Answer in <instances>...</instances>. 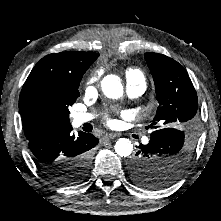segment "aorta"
<instances>
[{"label":"aorta","instance_id":"aorta-1","mask_svg":"<svg viewBox=\"0 0 221 221\" xmlns=\"http://www.w3.org/2000/svg\"><path fill=\"white\" fill-rule=\"evenodd\" d=\"M103 93L112 99L120 98L123 95V86L117 75H107L101 82ZM115 152L121 157L129 156L133 151V144L127 138H120L115 143Z\"/></svg>","mask_w":221,"mask_h":221}]
</instances>
